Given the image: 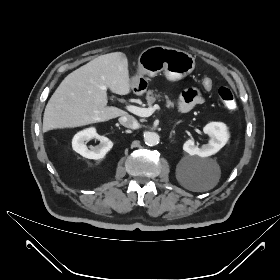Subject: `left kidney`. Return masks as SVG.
<instances>
[{
	"mask_svg": "<svg viewBox=\"0 0 280 280\" xmlns=\"http://www.w3.org/2000/svg\"><path fill=\"white\" fill-rule=\"evenodd\" d=\"M203 132L208 134L210 141L201 148L194 145L192 139L183 144V150L189 155H198L199 157H208L217 153L228 141L229 133L227 126L221 122H210L204 126Z\"/></svg>",
	"mask_w": 280,
	"mask_h": 280,
	"instance_id": "obj_1",
	"label": "left kidney"
}]
</instances>
